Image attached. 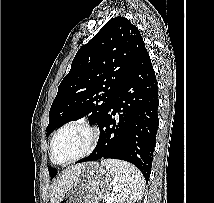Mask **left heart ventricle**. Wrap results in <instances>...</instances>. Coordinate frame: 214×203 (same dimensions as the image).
Returning <instances> with one entry per match:
<instances>
[{
  "label": "left heart ventricle",
  "mask_w": 214,
  "mask_h": 203,
  "mask_svg": "<svg viewBox=\"0 0 214 203\" xmlns=\"http://www.w3.org/2000/svg\"><path fill=\"white\" fill-rule=\"evenodd\" d=\"M90 138V133L81 127H72L63 131L55 144V160L64 163L73 159L87 148Z\"/></svg>",
  "instance_id": "b2bd125f"
}]
</instances>
